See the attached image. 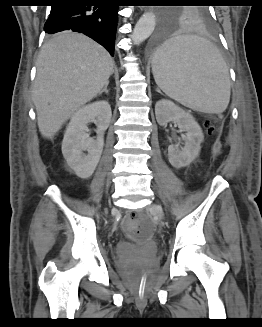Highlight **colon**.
I'll return each instance as SVG.
<instances>
[{"instance_id":"5ec220e1","label":"colon","mask_w":262,"mask_h":327,"mask_svg":"<svg viewBox=\"0 0 262 327\" xmlns=\"http://www.w3.org/2000/svg\"><path fill=\"white\" fill-rule=\"evenodd\" d=\"M205 128L209 134H212L217 128L216 121L212 119L206 120ZM125 227L129 235L138 241L150 239L154 232L153 222L143 213L130 214L126 219Z\"/></svg>"}]
</instances>
